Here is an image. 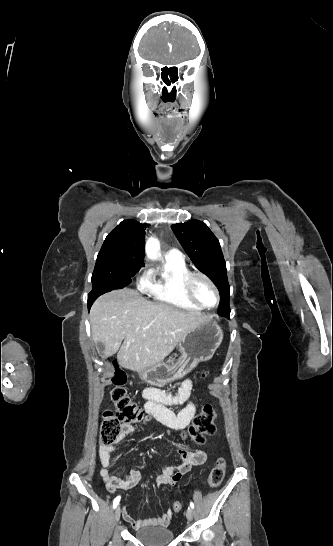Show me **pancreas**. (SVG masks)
<instances>
[{"label": "pancreas", "mask_w": 333, "mask_h": 546, "mask_svg": "<svg viewBox=\"0 0 333 546\" xmlns=\"http://www.w3.org/2000/svg\"><path fill=\"white\" fill-rule=\"evenodd\" d=\"M171 361H173V359H172V358H170V359L168 360V362H171Z\"/></svg>", "instance_id": "cf45deb5"}]
</instances>
